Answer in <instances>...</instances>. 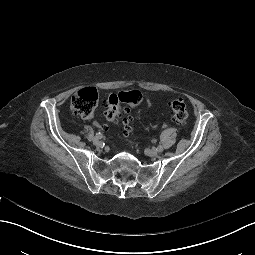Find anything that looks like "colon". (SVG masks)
Returning a JSON list of instances; mask_svg holds the SVG:
<instances>
[{
	"label": "colon",
	"mask_w": 255,
	"mask_h": 255,
	"mask_svg": "<svg viewBox=\"0 0 255 255\" xmlns=\"http://www.w3.org/2000/svg\"><path fill=\"white\" fill-rule=\"evenodd\" d=\"M142 102V94L139 91H121L111 94L106 101V117L109 122L114 121L120 114L121 104L126 107L125 126L126 131H130V112ZM98 104V94L94 88H84L76 92L71 99V109L82 117H90L94 113ZM171 117L175 122L182 125L188 118L186 104L180 98L174 99L170 103Z\"/></svg>",
	"instance_id": "colon-1"
}]
</instances>
